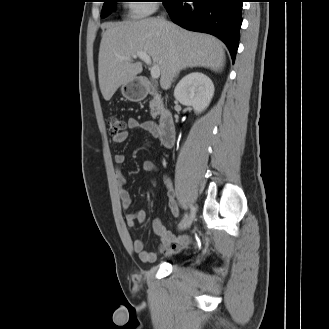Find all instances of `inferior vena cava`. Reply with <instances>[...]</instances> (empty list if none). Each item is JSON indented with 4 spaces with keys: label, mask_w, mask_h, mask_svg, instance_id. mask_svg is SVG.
<instances>
[{
    "label": "inferior vena cava",
    "mask_w": 329,
    "mask_h": 329,
    "mask_svg": "<svg viewBox=\"0 0 329 329\" xmlns=\"http://www.w3.org/2000/svg\"><path fill=\"white\" fill-rule=\"evenodd\" d=\"M162 20L165 21L163 17H162ZM179 71H180L179 67L178 66L175 67L174 71H173V77L176 76L177 74H179Z\"/></svg>",
    "instance_id": "obj_1"
}]
</instances>
